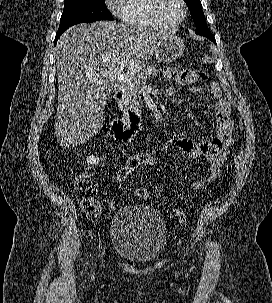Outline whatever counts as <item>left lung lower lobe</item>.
<instances>
[{"label":"left lung lower lobe","instance_id":"obj_1","mask_svg":"<svg viewBox=\"0 0 272 303\" xmlns=\"http://www.w3.org/2000/svg\"><path fill=\"white\" fill-rule=\"evenodd\" d=\"M205 37H206V36H205ZM207 38L210 39L213 43L216 44V41H215V38H214L213 35H212V36H207Z\"/></svg>","mask_w":272,"mask_h":303}]
</instances>
